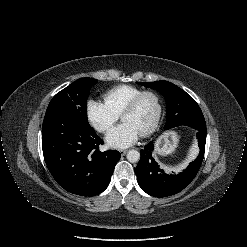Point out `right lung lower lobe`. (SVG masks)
Instances as JSON below:
<instances>
[{
	"instance_id": "right-lung-lower-lobe-1",
	"label": "right lung lower lobe",
	"mask_w": 247,
	"mask_h": 247,
	"mask_svg": "<svg viewBox=\"0 0 247 247\" xmlns=\"http://www.w3.org/2000/svg\"><path fill=\"white\" fill-rule=\"evenodd\" d=\"M102 144L87 120L66 113L44 117L46 165L56 182L70 193L95 196L108 187L121 155L117 150L100 152Z\"/></svg>"
}]
</instances>
